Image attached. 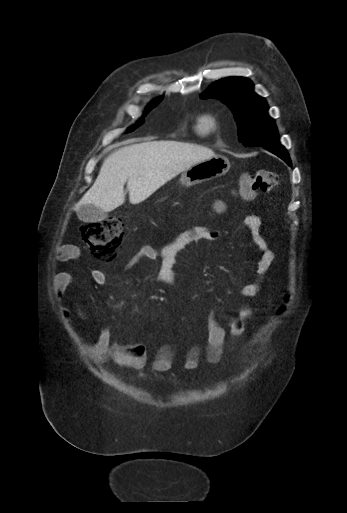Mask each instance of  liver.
Masks as SVG:
<instances>
[{
    "instance_id": "6515ba94",
    "label": "liver",
    "mask_w": 347,
    "mask_h": 513,
    "mask_svg": "<svg viewBox=\"0 0 347 513\" xmlns=\"http://www.w3.org/2000/svg\"><path fill=\"white\" fill-rule=\"evenodd\" d=\"M214 155L207 147L168 140L125 146L104 160L96 181L74 210L78 213L88 204L105 213L116 209L125 202L126 182L130 202L138 204L179 173Z\"/></svg>"
}]
</instances>
